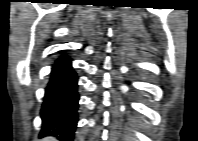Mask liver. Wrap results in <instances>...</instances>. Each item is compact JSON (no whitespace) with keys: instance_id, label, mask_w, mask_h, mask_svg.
<instances>
[{"instance_id":"6515ba94","label":"liver","mask_w":198,"mask_h":141,"mask_svg":"<svg viewBox=\"0 0 198 141\" xmlns=\"http://www.w3.org/2000/svg\"><path fill=\"white\" fill-rule=\"evenodd\" d=\"M54 140H55V138H52V137L46 138V141H54Z\"/></svg>"}]
</instances>
